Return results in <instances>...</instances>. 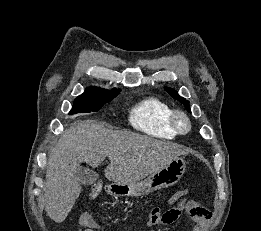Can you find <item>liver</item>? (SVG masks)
I'll use <instances>...</instances> for the list:
<instances>
[{"label": "liver", "mask_w": 261, "mask_h": 231, "mask_svg": "<svg viewBox=\"0 0 261 231\" xmlns=\"http://www.w3.org/2000/svg\"><path fill=\"white\" fill-rule=\"evenodd\" d=\"M182 146L134 132L108 130L93 120L74 123L48 155L44 204L47 215L63 222L81 193L75 169L81 163L96 168L108 157L105 177L116 184L142 180L186 155Z\"/></svg>", "instance_id": "liver-1"}]
</instances>
